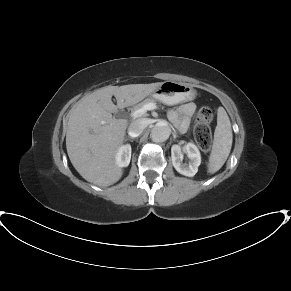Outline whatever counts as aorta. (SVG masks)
<instances>
[{"instance_id":"762f6f07","label":"aorta","mask_w":291,"mask_h":291,"mask_svg":"<svg viewBox=\"0 0 291 291\" xmlns=\"http://www.w3.org/2000/svg\"><path fill=\"white\" fill-rule=\"evenodd\" d=\"M171 134V128L168 124L159 122L151 130L150 137L152 141L159 143L166 141Z\"/></svg>"}]
</instances>
